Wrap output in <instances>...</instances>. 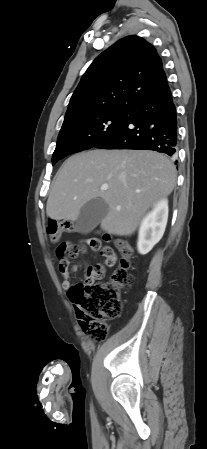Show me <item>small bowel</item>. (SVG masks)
Returning <instances> with one entry per match:
<instances>
[{
  "label": "small bowel",
  "mask_w": 207,
  "mask_h": 449,
  "mask_svg": "<svg viewBox=\"0 0 207 449\" xmlns=\"http://www.w3.org/2000/svg\"><path fill=\"white\" fill-rule=\"evenodd\" d=\"M114 259L116 260V256L114 253ZM113 266V265H112ZM107 267H111V266H107ZM78 269V266L75 265L73 266L71 269L69 268V265L66 267L60 266L59 265V271L61 273L62 276V288L63 289H68L71 286V273L76 271ZM105 269V267H104ZM96 275V270L93 267H89L87 269V273H86V280H93L95 278Z\"/></svg>",
  "instance_id": "1"
}]
</instances>
